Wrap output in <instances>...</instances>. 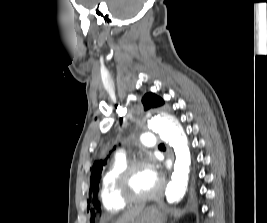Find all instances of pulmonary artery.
<instances>
[{
  "label": "pulmonary artery",
  "mask_w": 267,
  "mask_h": 223,
  "mask_svg": "<svg viewBox=\"0 0 267 223\" xmlns=\"http://www.w3.org/2000/svg\"><path fill=\"white\" fill-rule=\"evenodd\" d=\"M140 139H141V142L144 146H147L150 148L155 147L157 144V138L152 133L143 134V135H141Z\"/></svg>",
  "instance_id": "1"
}]
</instances>
